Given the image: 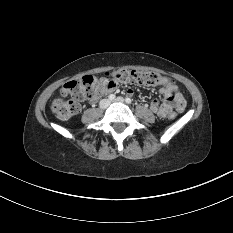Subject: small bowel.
Masks as SVG:
<instances>
[{"mask_svg":"<svg viewBox=\"0 0 233 233\" xmlns=\"http://www.w3.org/2000/svg\"><path fill=\"white\" fill-rule=\"evenodd\" d=\"M100 89L98 92L90 98L91 102H94L102 94H107L115 91L118 87V82L113 79L101 78L100 79ZM160 92L164 95V101L161 103L158 100H154L150 109L153 113L159 117H168L173 113L174 110L182 112L185 109V100L183 96L179 93L178 88L174 84L164 85ZM128 94H132V90H128Z\"/></svg>","mask_w":233,"mask_h":233,"instance_id":"c3829d8e","label":"small bowel"}]
</instances>
